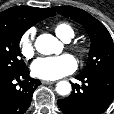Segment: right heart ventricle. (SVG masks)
<instances>
[{"instance_id": "e07e8e85", "label": "right heart ventricle", "mask_w": 114, "mask_h": 114, "mask_svg": "<svg viewBox=\"0 0 114 114\" xmlns=\"http://www.w3.org/2000/svg\"><path fill=\"white\" fill-rule=\"evenodd\" d=\"M54 31L63 41H69L75 33L73 27L67 22H59L55 24Z\"/></svg>"}]
</instances>
